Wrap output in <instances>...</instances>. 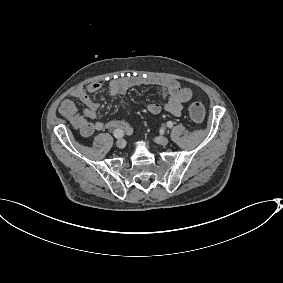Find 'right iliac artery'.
<instances>
[{
	"label": "right iliac artery",
	"instance_id": "obj_1",
	"mask_svg": "<svg viewBox=\"0 0 283 283\" xmlns=\"http://www.w3.org/2000/svg\"><path fill=\"white\" fill-rule=\"evenodd\" d=\"M113 135L116 138H121V137L124 136V132L122 130L117 129V130L114 131Z\"/></svg>",
	"mask_w": 283,
	"mask_h": 283
}]
</instances>
